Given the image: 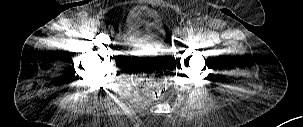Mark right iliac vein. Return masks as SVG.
<instances>
[{
  "label": "right iliac vein",
  "instance_id": "63e3f726",
  "mask_svg": "<svg viewBox=\"0 0 303 127\" xmlns=\"http://www.w3.org/2000/svg\"><path fill=\"white\" fill-rule=\"evenodd\" d=\"M96 26L99 28H102L104 26V24H103V22H97Z\"/></svg>",
  "mask_w": 303,
  "mask_h": 127
}]
</instances>
